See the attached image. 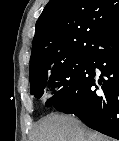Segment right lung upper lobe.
Listing matches in <instances>:
<instances>
[{"label": "right lung upper lobe", "instance_id": "cb5924a9", "mask_svg": "<svg viewBox=\"0 0 119 141\" xmlns=\"http://www.w3.org/2000/svg\"><path fill=\"white\" fill-rule=\"evenodd\" d=\"M117 19L119 0H50L36 22L29 75L88 57Z\"/></svg>", "mask_w": 119, "mask_h": 141}]
</instances>
